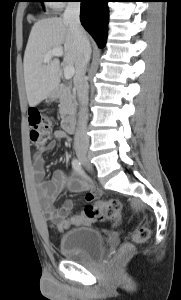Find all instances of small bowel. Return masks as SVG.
<instances>
[{
  "label": "small bowel",
  "instance_id": "1",
  "mask_svg": "<svg viewBox=\"0 0 181 300\" xmlns=\"http://www.w3.org/2000/svg\"><path fill=\"white\" fill-rule=\"evenodd\" d=\"M66 138V134L62 130L53 133L52 141L48 144L44 151L37 152L34 156V177L39 196L42 201L43 208L46 213L47 220L55 224L60 230H66L75 226H86L94 221L87 218L83 213L71 214L74 204L71 200H66L61 207L55 206V201L65 187L74 193H80L88 189V183L85 179L73 175L68 176L62 169L54 170L51 177L46 179V171L44 168L43 153L51 151L55 148L56 141ZM100 191L92 189L86 194V201L92 202Z\"/></svg>",
  "mask_w": 181,
  "mask_h": 300
}]
</instances>
